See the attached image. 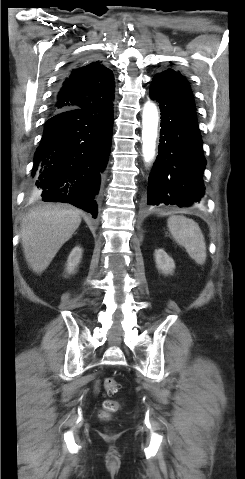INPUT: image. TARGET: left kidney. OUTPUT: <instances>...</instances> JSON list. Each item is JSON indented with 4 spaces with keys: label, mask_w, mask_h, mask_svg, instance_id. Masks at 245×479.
<instances>
[{
    "label": "left kidney",
    "mask_w": 245,
    "mask_h": 479,
    "mask_svg": "<svg viewBox=\"0 0 245 479\" xmlns=\"http://www.w3.org/2000/svg\"><path fill=\"white\" fill-rule=\"evenodd\" d=\"M154 256L157 268L163 274H172L175 268L174 260L163 249L155 250Z\"/></svg>",
    "instance_id": "1"
}]
</instances>
